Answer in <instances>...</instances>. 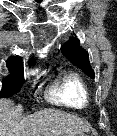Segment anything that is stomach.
I'll list each match as a JSON object with an SVG mask.
<instances>
[{"instance_id": "0dacf381", "label": "stomach", "mask_w": 117, "mask_h": 136, "mask_svg": "<svg viewBox=\"0 0 117 136\" xmlns=\"http://www.w3.org/2000/svg\"><path fill=\"white\" fill-rule=\"evenodd\" d=\"M78 136H86L85 134H83V133H80V134H78Z\"/></svg>"}]
</instances>
